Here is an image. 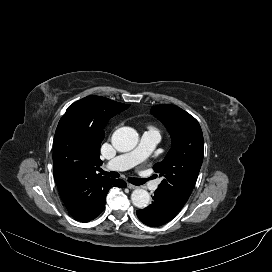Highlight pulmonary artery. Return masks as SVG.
Instances as JSON below:
<instances>
[{"mask_svg":"<svg viewBox=\"0 0 272 272\" xmlns=\"http://www.w3.org/2000/svg\"><path fill=\"white\" fill-rule=\"evenodd\" d=\"M160 140V133L157 130L149 129L141 137L139 145L126 154L119 155L107 164L110 169L126 170L143 162L148 158L155 146ZM157 182H151L147 185L149 189H155Z\"/></svg>","mask_w":272,"mask_h":272,"instance_id":"e3ab8cb5","label":"pulmonary artery"}]
</instances>
